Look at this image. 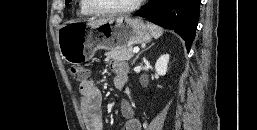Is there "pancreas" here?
<instances>
[{"label":"pancreas","mask_w":257,"mask_h":130,"mask_svg":"<svg viewBox=\"0 0 257 130\" xmlns=\"http://www.w3.org/2000/svg\"><path fill=\"white\" fill-rule=\"evenodd\" d=\"M105 55L107 56V58H110L113 61L130 60L133 57V48L125 47L111 50L107 52Z\"/></svg>","instance_id":"obj_1"}]
</instances>
